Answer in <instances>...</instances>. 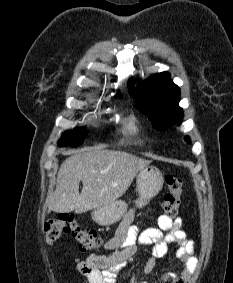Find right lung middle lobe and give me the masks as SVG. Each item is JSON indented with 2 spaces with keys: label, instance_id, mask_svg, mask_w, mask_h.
I'll use <instances>...</instances> for the list:
<instances>
[{
  "label": "right lung middle lobe",
  "instance_id": "right-lung-middle-lobe-1",
  "mask_svg": "<svg viewBox=\"0 0 233 283\" xmlns=\"http://www.w3.org/2000/svg\"><path fill=\"white\" fill-rule=\"evenodd\" d=\"M86 136V132L84 128H79L74 130L73 132H65L63 133L61 139L58 141V145L61 147L64 146H78L82 143Z\"/></svg>",
  "mask_w": 233,
  "mask_h": 283
}]
</instances>
